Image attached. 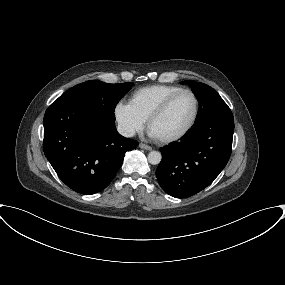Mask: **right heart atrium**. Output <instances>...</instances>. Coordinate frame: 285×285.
<instances>
[{
  "label": "right heart atrium",
  "instance_id": "right-heart-atrium-1",
  "mask_svg": "<svg viewBox=\"0 0 285 285\" xmlns=\"http://www.w3.org/2000/svg\"><path fill=\"white\" fill-rule=\"evenodd\" d=\"M113 114L120 132L127 137L134 136L144 127L145 121L134 111L129 103L118 102L114 107Z\"/></svg>",
  "mask_w": 285,
  "mask_h": 285
}]
</instances>
